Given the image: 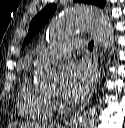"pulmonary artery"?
Instances as JSON below:
<instances>
[{"label": "pulmonary artery", "mask_w": 125, "mask_h": 128, "mask_svg": "<svg viewBox=\"0 0 125 128\" xmlns=\"http://www.w3.org/2000/svg\"><path fill=\"white\" fill-rule=\"evenodd\" d=\"M82 46L79 39L64 40L58 43L51 44L50 46L37 52L34 62L36 64L43 61L56 62L70 57L72 51Z\"/></svg>", "instance_id": "obj_1"}]
</instances>
